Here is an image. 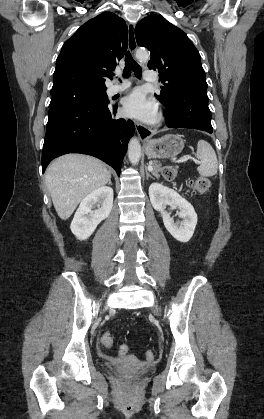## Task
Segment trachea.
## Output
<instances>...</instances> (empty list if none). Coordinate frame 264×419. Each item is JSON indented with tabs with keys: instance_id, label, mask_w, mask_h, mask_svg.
<instances>
[{
	"instance_id": "obj_1",
	"label": "trachea",
	"mask_w": 264,
	"mask_h": 419,
	"mask_svg": "<svg viewBox=\"0 0 264 419\" xmlns=\"http://www.w3.org/2000/svg\"><path fill=\"white\" fill-rule=\"evenodd\" d=\"M131 70H133L137 78H141V74H142L141 67L134 61L130 52H127L125 56V67L123 70V76L125 78H128L131 74Z\"/></svg>"
}]
</instances>
